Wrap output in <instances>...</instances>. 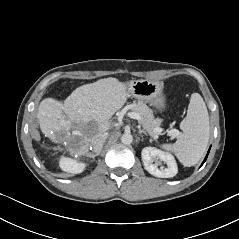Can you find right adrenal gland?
<instances>
[{
  "mask_svg": "<svg viewBox=\"0 0 239 239\" xmlns=\"http://www.w3.org/2000/svg\"><path fill=\"white\" fill-rule=\"evenodd\" d=\"M90 157L94 158V157H95V155H90Z\"/></svg>",
  "mask_w": 239,
  "mask_h": 239,
  "instance_id": "right-adrenal-gland-1",
  "label": "right adrenal gland"
}]
</instances>
